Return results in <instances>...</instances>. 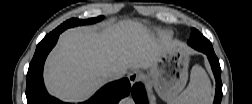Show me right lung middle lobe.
<instances>
[{
    "instance_id": "1",
    "label": "right lung middle lobe",
    "mask_w": 252,
    "mask_h": 104,
    "mask_svg": "<svg viewBox=\"0 0 252 104\" xmlns=\"http://www.w3.org/2000/svg\"><path fill=\"white\" fill-rule=\"evenodd\" d=\"M102 19H103V16L96 17V18H91V19H86V20L72 18L70 20H67L63 24H61L54 31L63 32L67 28L74 27V26H79V25H84V24H92V23L98 22V21H100Z\"/></svg>"
}]
</instances>
